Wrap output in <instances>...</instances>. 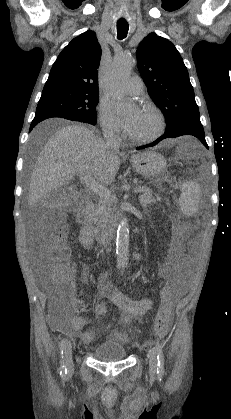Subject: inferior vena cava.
Listing matches in <instances>:
<instances>
[{
  "label": "inferior vena cava",
  "instance_id": "inferior-vena-cava-1",
  "mask_svg": "<svg viewBox=\"0 0 231 419\" xmlns=\"http://www.w3.org/2000/svg\"><path fill=\"white\" fill-rule=\"evenodd\" d=\"M104 142L108 149L118 151L120 146V138L117 132L111 128L107 127L103 132ZM100 242L102 244L106 243V237L104 234L101 235Z\"/></svg>",
  "mask_w": 231,
  "mask_h": 419
}]
</instances>
